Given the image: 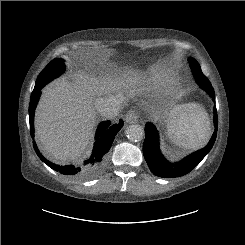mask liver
I'll return each mask as SVG.
<instances>
[{"mask_svg":"<svg viewBox=\"0 0 245 245\" xmlns=\"http://www.w3.org/2000/svg\"><path fill=\"white\" fill-rule=\"evenodd\" d=\"M171 89L160 77L127 71L96 77L84 71L43 90L35 112V136L40 149L57 162L76 160L89 144L96 122L95 103L102 96L124 101L128 96L157 97Z\"/></svg>","mask_w":245,"mask_h":245,"instance_id":"1","label":"liver"}]
</instances>
